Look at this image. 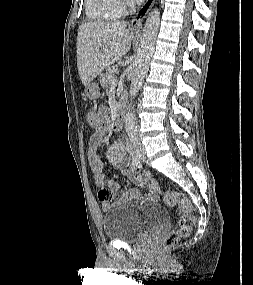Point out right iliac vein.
<instances>
[{
	"label": "right iliac vein",
	"instance_id": "right-iliac-vein-1",
	"mask_svg": "<svg viewBox=\"0 0 253 285\" xmlns=\"http://www.w3.org/2000/svg\"><path fill=\"white\" fill-rule=\"evenodd\" d=\"M135 154H136V156L138 157V151H137V150H135Z\"/></svg>",
	"mask_w": 253,
	"mask_h": 285
}]
</instances>
